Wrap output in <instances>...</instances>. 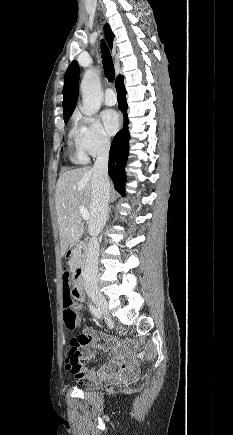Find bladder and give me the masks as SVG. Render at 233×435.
<instances>
[{
	"label": "bladder",
	"instance_id": "obj_1",
	"mask_svg": "<svg viewBox=\"0 0 233 435\" xmlns=\"http://www.w3.org/2000/svg\"><path fill=\"white\" fill-rule=\"evenodd\" d=\"M84 389H86V390H97V389H99V386H95V387L85 386Z\"/></svg>",
	"mask_w": 233,
	"mask_h": 435
}]
</instances>
